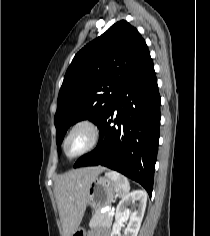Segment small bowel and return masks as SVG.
Returning a JSON list of instances; mask_svg holds the SVG:
<instances>
[{
	"instance_id": "small-bowel-1",
	"label": "small bowel",
	"mask_w": 210,
	"mask_h": 236,
	"mask_svg": "<svg viewBox=\"0 0 210 236\" xmlns=\"http://www.w3.org/2000/svg\"><path fill=\"white\" fill-rule=\"evenodd\" d=\"M89 236H109L107 233L92 232Z\"/></svg>"
}]
</instances>
